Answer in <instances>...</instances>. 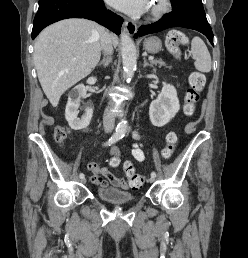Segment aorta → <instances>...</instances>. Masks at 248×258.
Returning <instances> with one entry per match:
<instances>
[{
	"instance_id": "1",
	"label": "aorta",
	"mask_w": 248,
	"mask_h": 258,
	"mask_svg": "<svg viewBox=\"0 0 248 258\" xmlns=\"http://www.w3.org/2000/svg\"><path fill=\"white\" fill-rule=\"evenodd\" d=\"M121 55L124 74L128 80H130L134 75V71L136 70L137 54L134 42L124 32L121 34ZM126 130L127 122L123 120L117 125L116 132L119 134H124Z\"/></svg>"
}]
</instances>
